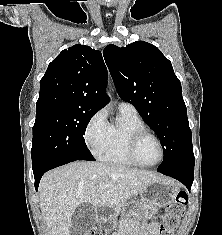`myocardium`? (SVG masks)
Segmentation results:
<instances>
[{
  "mask_svg": "<svg viewBox=\"0 0 222 235\" xmlns=\"http://www.w3.org/2000/svg\"><path fill=\"white\" fill-rule=\"evenodd\" d=\"M153 138L159 148H160V158L157 162L152 163V164H147L144 163L140 160L139 156H138V148L139 145L141 144V142L145 139V138ZM127 153L129 158L138 166L141 167H155L157 165H159L165 156V150H164V146L162 144V141L160 140V138L154 134L153 132L145 129V130H138L135 131L134 133H132V135L129 138L128 144H127Z\"/></svg>",
  "mask_w": 222,
  "mask_h": 235,
  "instance_id": "obj_1",
  "label": "myocardium"
}]
</instances>
